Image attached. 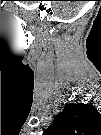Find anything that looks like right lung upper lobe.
<instances>
[{"mask_svg":"<svg viewBox=\"0 0 101 135\" xmlns=\"http://www.w3.org/2000/svg\"><path fill=\"white\" fill-rule=\"evenodd\" d=\"M98 111L89 104H67L47 130L61 129L68 135H97ZM62 132V131H60Z\"/></svg>","mask_w":101,"mask_h":135,"instance_id":"right-lung-upper-lobe-1","label":"right lung upper lobe"}]
</instances>
